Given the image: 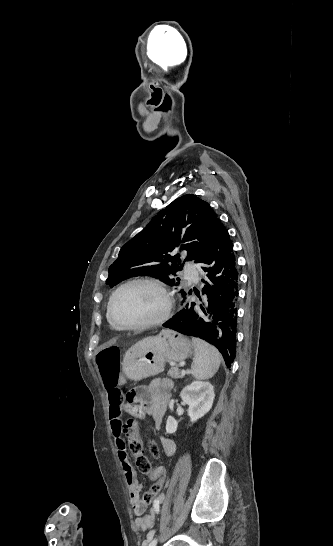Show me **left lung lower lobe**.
I'll return each instance as SVG.
<instances>
[{"mask_svg": "<svg viewBox=\"0 0 333 546\" xmlns=\"http://www.w3.org/2000/svg\"><path fill=\"white\" fill-rule=\"evenodd\" d=\"M196 263L201 264L208 277L207 281L202 280L206 284L202 289L207 295L206 304L187 303L163 326L211 343L230 368L236 351L238 272L233 244L219 219L208 247ZM180 293L184 303L187 294Z\"/></svg>", "mask_w": 333, "mask_h": 546, "instance_id": "0a47b994", "label": "left lung lower lobe"}]
</instances>
